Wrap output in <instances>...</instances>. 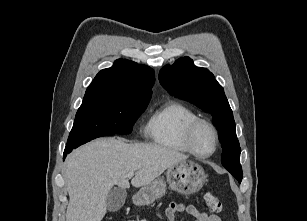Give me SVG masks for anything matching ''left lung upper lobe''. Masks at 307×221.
<instances>
[{
    "instance_id": "left-lung-upper-lobe-1",
    "label": "left lung upper lobe",
    "mask_w": 307,
    "mask_h": 221,
    "mask_svg": "<svg viewBox=\"0 0 307 221\" xmlns=\"http://www.w3.org/2000/svg\"><path fill=\"white\" fill-rule=\"evenodd\" d=\"M161 85L172 95L193 103L213 116L222 144V164L239 181L241 148L233 113L221 85L206 68L197 67L189 57L180 58L159 73Z\"/></svg>"
}]
</instances>
